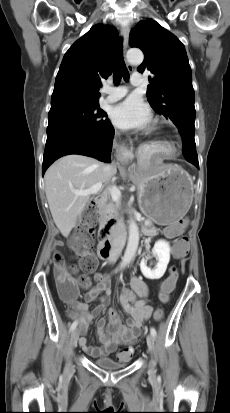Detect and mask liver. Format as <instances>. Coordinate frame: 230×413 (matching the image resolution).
<instances>
[{"mask_svg":"<svg viewBox=\"0 0 230 413\" xmlns=\"http://www.w3.org/2000/svg\"><path fill=\"white\" fill-rule=\"evenodd\" d=\"M104 166L94 158L70 154L57 160L46 171L47 201L54 223L64 237H68L90 200V195L78 196L73 190H87L96 183L109 182L113 175L104 173Z\"/></svg>","mask_w":230,"mask_h":413,"instance_id":"liver-1","label":"liver"}]
</instances>
